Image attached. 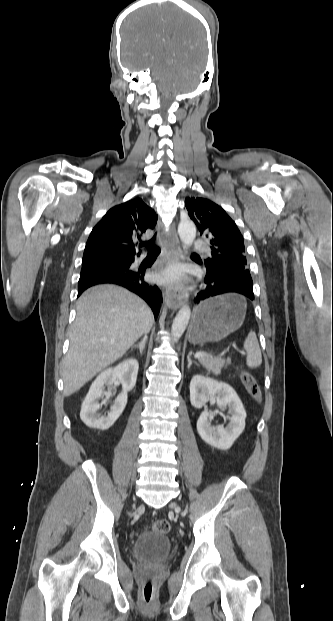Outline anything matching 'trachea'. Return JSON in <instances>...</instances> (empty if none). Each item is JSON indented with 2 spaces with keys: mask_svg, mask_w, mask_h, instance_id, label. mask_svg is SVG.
<instances>
[{
  "mask_svg": "<svg viewBox=\"0 0 333 621\" xmlns=\"http://www.w3.org/2000/svg\"><path fill=\"white\" fill-rule=\"evenodd\" d=\"M148 249V254L157 255L160 252V248L155 244V238L149 242L142 243Z\"/></svg>",
  "mask_w": 333,
  "mask_h": 621,
  "instance_id": "3493384b",
  "label": "trachea"
}]
</instances>
